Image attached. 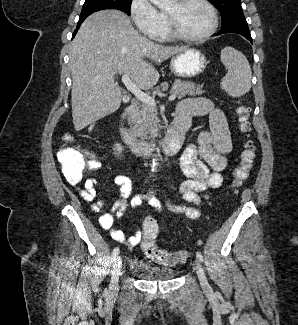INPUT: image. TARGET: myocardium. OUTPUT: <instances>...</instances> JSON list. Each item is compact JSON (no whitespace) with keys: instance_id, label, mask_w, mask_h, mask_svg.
I'll return each mask as SVG.
<instances>
[{"instance_id":"obj_1","label":"myocardium","mask_w":298,"mask_h":325,"mask_svg":"<svg viewBox=\"0 0 298 325\" xmlns=\"http://www.w3.org/2000/svg\"><path fill=\"white\" fill-rule=\"evenodd\" d=\"M187 1H190V0H174L172 2L181 4V3H184ZM192 1L199 3L207 10L209 17H210V25H209L207 31L204 32L203 34L195 36V37H188V36L182 34L178 30L171 12L168 9L162 7L163 13L166 18V23H167V29H166V37L167 38H172L174 40L182 41V42L197 43V42L205 41L206 39H208L210 36H212L215 33L216 28H217V18H216V15H215V12H214L212 6L205 0H192Z\"/></svg>"}]
</instances>
